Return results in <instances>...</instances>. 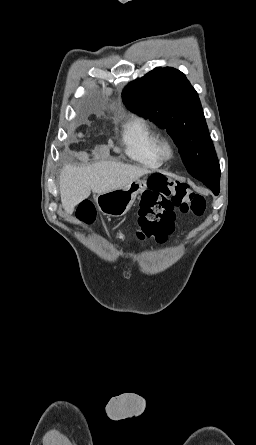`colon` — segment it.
Returning <instances> with one entry per match:
<instances>
[{
	"instance_id": "colon-1",
	"label": "colon",
	"mask_w": 256,
	"mask_h": 445,
	"mask_svg": "<svg viewBox=\"0 0 256 445\" xmlns=\"http://www.w3.org/2000/svg\"><path fill=\"white\" fill-rule=\"evenodd\" d=\"M138 226L134 235L141 239H154L165 242L173 230L175 210L202 216L205 211L203 196L192 192L185 184L171 181L161 176H152L149 189L143 192L139 202ZM78 217L85 224L95 220V209L91 202L83 201L78 209ZM121 237L122 233H115Z\"/></svg>"
}]
</instances>
